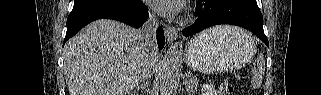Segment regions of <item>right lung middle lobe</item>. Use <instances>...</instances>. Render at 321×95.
<instances>
[{"instance_id":"dd1d6c3e","label":"right lung middle lobe","mask_w":321,"mask_h":95,"mask_svg":"<svg viewBox=\"0 0 321 95\" xmlns=\"http://www.w3.org/2000/svg\"><path fill=\"white\" fill-rule=\"evenodd\" d=\"M137 0H74L73 9L84 8V7H94V6H104V5H123L129 6L136 2Z\"/></svg>"}]
</instances>
